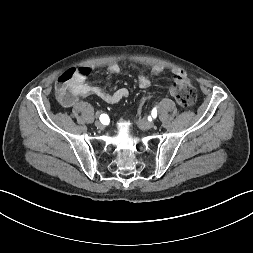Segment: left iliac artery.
Instances as JSON below:
<instances>
[{"instance_id":"44dca946","label":"left iliac artery","mask_w":253,"mask_h":253,"mask_svg":"<svg viewBox=\"0 0 253 253\" xmlns=\"http://www.w3.org/2000/svg\"><path fill=\"white\" fill-rule=\"evenodd\" d=\"M152 116L155 118L157 116V109L156 107L152 110Z\"/></svg>"}]
</instances>
